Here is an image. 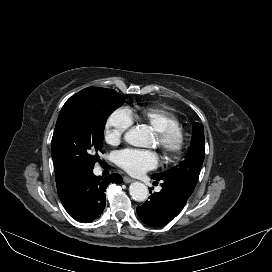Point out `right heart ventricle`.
I'll use <instances>...</instances> for the list:
<instances>
[{
  "label": "right heart ventricle",
  "mask_w": 272,
  "mask_h": 272,
  "mask_svg": "<svg viewBox=\"0 0 272 272\" xmlns=\"http://www.w3.org/2000/svg\"><path fill=\"white\" fill-rule=\"evenodd\" d=\"M126 111L133 122L147 125L154 132L181 127V121L177 116L158 107H145L139 110L127 109Z\"/></svg>",
  "instance_id": "e07e8e85"
}]
</instances>
